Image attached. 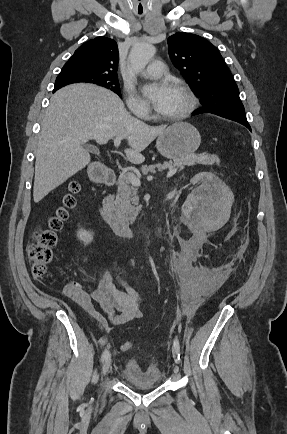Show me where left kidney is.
<instances>
[{"instance_id":"5707ae66","label":"left kidney","mask_w":287,"mask_h":434,"mask_svg":"<svg viewBox=\"0 0 287 434\" xmlns=\"http://www.w3.org/2000/svg\"><path fill=\"white\" fill-rule=\"evenodd\" d=\"M201 185L188 195L183 214L188 220H210L222 223V219L230 213L234 196L229 187L214 174L201 172L191 180Z\"/></svg>"}]
</instances>
